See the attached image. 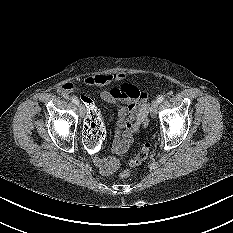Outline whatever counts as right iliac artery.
<instances>
[{
	"label": "right iliac artery",
	"mask_w": 233,
	"mask_h": 233,
	"mask_svg": "<svg viewBox=\"0 0 233 233\" xmlns=\"http://www.w3.org/2000/svg\"><path fill=\"white\" fill-rule=\"evenodd\" d=\"M72 102L74 103V104H76V105H78L79 104V100L76 98V97H72Z\"/></svg>",
	"instance_id": "right-iliac-artery-1"
}]
</instances>
